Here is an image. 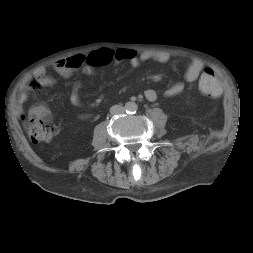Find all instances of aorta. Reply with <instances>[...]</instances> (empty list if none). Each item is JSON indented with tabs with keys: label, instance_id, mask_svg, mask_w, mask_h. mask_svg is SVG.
Returning <instances> with one entry per match:
<instances>
[{
	"label": "aorta",
	"instance_id": "762f6f07",
	"mask_svg": "<svg viewBox=\"0 0 253 253\" xmlns=\"http://www.w3.org/2000/svg\"><path fill=\"white\" fill-rule=\"evenodd\" d=\"M125 112L128 114H133L137 111V104L133 101H129L124 106Z\"/></svg>",
	"mask_w": 253,
	"mask_h": 253
}]
</instances>
